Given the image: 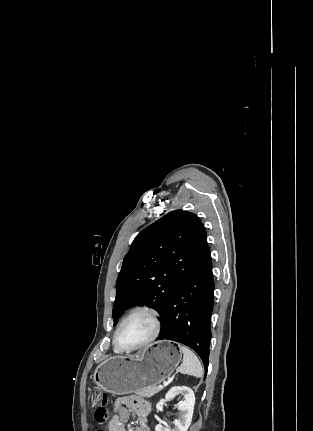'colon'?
<instances>
[{"instance_id": "5ec220e1", "label": "colon", "mask_w": 313, "mask_h": 431, "mask_svg": "<svg viewBox=\"0 0 313 431\" xmlns=\"http://www.w3.org/2000/svg\"><path fill=\"white\" fill-rule=\"evenodd\" d=\"M106 402H107V397H106V395H103L102 404L96 409L95 414H94L95 420L100 424H103L107 420V417H108V411H107V408L105 406ZM94 431H104V430L97 429Z\"/></svg>"}]
</instances>
